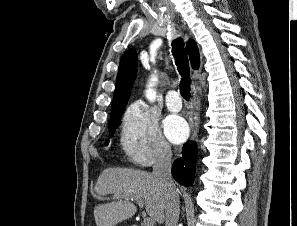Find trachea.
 Returning <instances> with one entry per match:
<instances>
[{"label":"trachea","mask_w":297,"mask_h":226,"mask_svg":"<svg viewBox=\"0 0 297 226\" xmlns=\"http://www.w3.org/2000/svg\"><path fill=\"white\" fill-rule=\"evenodd\" d=\"M172 54L175 58V64L178 72L181 75L180 81V93L185 100L190 98V71L189 62L184 50V43L181 38H178L172 42Z\"/></svg>","instance_id":"trachea-1"}]
</instances>
